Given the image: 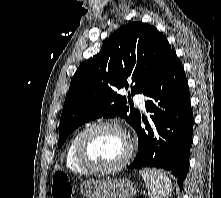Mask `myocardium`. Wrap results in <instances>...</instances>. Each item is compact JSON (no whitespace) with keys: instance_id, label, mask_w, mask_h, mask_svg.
Wrapping results in <instances>:
<instances>
[{"instance_id":"obj_1","label":"myocardium","mask_w":221,"mask_h":198,"mask_svg":"<svg viewBox=\"0 0 221 198\" xmlns=\"http://www.w3.org/2000/svg\"><path fill=\"white\" fill-rule=\"evenodd\" d=\"M100 129H113L118 131L126 140L127 149L124 157L116 164L111 166H98L92 163L86 154V142L89 136ZM133 154V143L128 133L117 123L114 122H97L85 128L79 135L76 146L75 156L77 162L88 172L96 174H109L123 169L130 161Z\"/></svg>"}]
</instances>
